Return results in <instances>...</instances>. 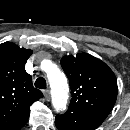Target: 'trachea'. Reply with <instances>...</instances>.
<instances>
[{
    "instance_id": "3493384b",
    "label": "trachea",
    "mask_w": 130,
    "mask_h": 130,
    "mask_svg": "<svg viewBox=\"0 0 130 130\" xmlns=\"http://www.w3.org/2000/svg\"><path fill=\"white\" fill-rule=\"evenodd\" d=\"M35 87L39 89H46L47 84L46 80L43 77H39L35 81Z\"/></svg>"
}]
</instances>
